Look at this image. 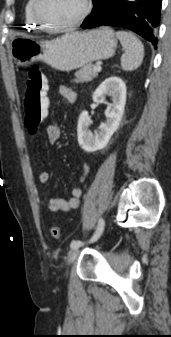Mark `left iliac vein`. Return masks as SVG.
Here are the masks:
<instances>
[{
    "mask_svg": "<svg viewBox=\"0 0 171 337\" xmlns=\"http://www.w3.org/2000/svg\"><path fill=\"white\" fill-rule=\"evenodd\" d=\"M78 255H79L78 248L71 249L67 256V264L70 265L71 263H73L77 259Z\"/></svg>",
    "mask_w": 171,
    "mask_h": 337,
    "instance_id": "left-iliac-vein-1",
    "label": "left iliac vein"
}]
</instances>
